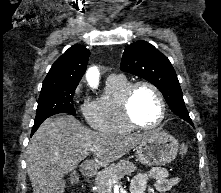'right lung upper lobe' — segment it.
I'll return each mask as SVG.
<instances>
[{
	"label": "right lung upper lobe",
	"instance_id": "cb5924a9",
	"mask_svg": "<svg viewBox=\"0 0 221 193\" xmlns=\"http://www.w3.org/2000/svg\"><path fill=\"white\" fill-rule=\"evenodd\" d=\"M89 55L90 51L81 45L69 48L52 65L42 89L77 86L86 70Z\"/></svg>",
	"mask_w": 221,
	"mask_h": 193
}]
</instances>
